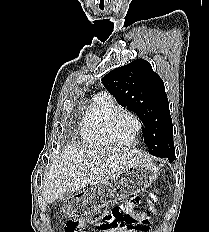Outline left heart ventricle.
Returning a JSON list of instances; mask_svg holds the SVG:
<instances>
[{"label": "left heart ventricle", "instance_id": "left-heart-ventricle-1", "mask_svg": "<svg viewBox=\"0 0 209 232\" xmlns=\"http://www.w3.org/2000/svg\"><path fill=\"white\" fill-rule=\"evenodd\" d=\"M135 128V121L127 114L119 116L113 124L114 135L121 142L129 141L134 134Z\"/></svg>", "mask_w": 209, "mask_h": 232}]
</instances>
